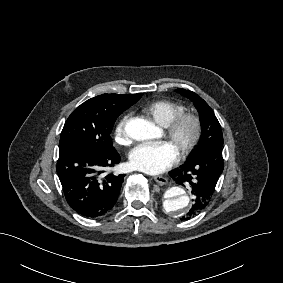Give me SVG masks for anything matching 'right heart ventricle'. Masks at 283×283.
<instances>
[{"label": "right heart ventricle", "mask_w": 283, "mask_h": 283, "mask_svg": "<svg viewBox=\"0 0 283 283\" xmlns=\"http://www.w3.org/2000/svg\"><path fill=\"white\" fill-rule=\"evenodd\" d=\"M143 111L158 125L166 127L175 117L185 112V106L176 100L157 99L148 103Z\"/></svg>", "instance_id": "obj_1"}]
</instances>
